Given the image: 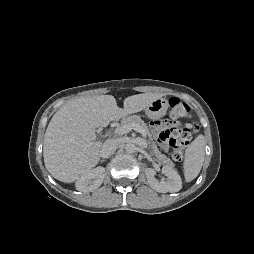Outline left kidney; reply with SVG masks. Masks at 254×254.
<instances>
[{"instance_id": "left-kidney-1", "label": "left kidney", "mask_w": 254, "mask_h": 254, "mask_svg": "<svg viewBox=\"0 0 254 254\" xmlns=\"http://www.w3.org/2000/svg\"><path fill=\"white\" fill-rule=\"evenodd\" d=\"M162 172L167 176L168 181L159 182L155 178L156 172L152 168H147L145 170L150 187L160 193L178 192L182 188V180L178 172L169 166H164Z\"/></svg>"}]
</instances>
